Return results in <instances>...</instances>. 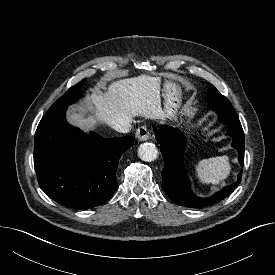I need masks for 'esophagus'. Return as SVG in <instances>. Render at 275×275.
<instances>
[{
    "label": "esophagus",
    "instance_id": "1",
    "mask_svg": "<svg viewBox=\"0 0 275 275\" xmlns=\"http://www.w3.org/2000/svg\"><path fill=\"white\" fill-rule=\"evenodd\" d=\"M136 138L139 141H146L149 139V130L146 126H141L136 130Z\"/></svg>",
    "mask_w": 275,
    "mask_h": 275
}]
</instances>
